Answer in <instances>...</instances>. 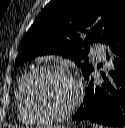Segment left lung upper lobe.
<instances>
[{"label": "left lung upper lobe", "mask_w": 125, "mask_h": 128, "mask_svg": "<svg viewBox=\"0 0 125 128\" xmlns=\"http://www.w3.org/2000/svg\"><path fill=\"white\" fill-rule=\"evenodd\" d=\"M124 26L125 0H52L22 38L15 65L59 54L73 60L84 75L94 70L89 46L108 44Z\"/></svg>", "instance_id": "obj_1"}]
</instances>
